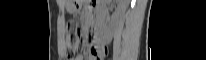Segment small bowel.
Wrapping results in <instances>:
<instances>
[{
	"mask_svg": "<svg viewBox=\"0 0 206 60\" xmlns=\"http://www.w3.org/2000/svg\"><path fill=\"white\" fill-rule=\"evenodd\" d=\"M88 53L91 59H97L99 54L101 53V48L98 45L96 39L90 38L88 42ZM75 60H83L81 56L77 57Z\"/></svg>",
	"mask_w": 206,
	"mask_h": 60,
	"instance_id": "small-bowel-1",
	"label": "small bowel"
}]
</instances>
